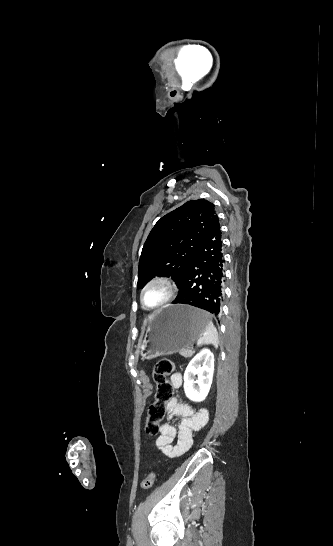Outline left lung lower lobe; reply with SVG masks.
Listing matches in <instances>:
<instances>
[{
	"instance_id": "obj_1",
	"label": "left lung lower lobe",
	"mask_w": 333,
	"mask_h": 546,
	"mask_svg": "<svg viewBox=\"0 0 333 546\" xmlns=\"http://www.w3.org/2000/svg\"><path fill=\"white\" fill-rule=\"evenodd\" d=\"M223 253L218 217L201 238L172 303L192 305L218 317L223 299Z\"/></svg>"
}]
</instances>
